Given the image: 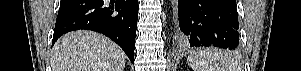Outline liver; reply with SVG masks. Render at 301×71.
I'll use <instances>...</instances> for the list:
<instances>
[{
  "label": "liver",
  "instance_id": "1",
  "mask_svg": "<svg viewBox=\"0 0 301 71\" xmlns=\"http://www.w3.org/2000/svg\"><path fill=\"white\" fill-rule=\"evenodd\" d=\"M126 55L112 40L91 31L63 35L53 46V71H123Z\"/></svg>",
  "mask_w": 301,
  "mask_h": 71
}]
</instances>
